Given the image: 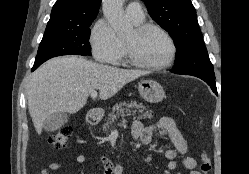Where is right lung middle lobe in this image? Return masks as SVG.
I'll return each mask as SVG.
<instances>
[{
    "mask_svg": "<svg viewBox=\"0 0 249 174\" xmlns=\"http://www.w3.org/2000/svg\"><path fill=\"white\" fill-rule=\"evenodd\" d=\"M92 21L77 26L45 31L38 48L35 64H42L52 57L61 55L90 56L89 27Z\"/></svg>",
    "mask_w": 249,
    "mask_h": 174,
    "instance_id": "right-lung-middle-lobe-1",
    "label": "right lung middle lobe"
}]
</instances>
